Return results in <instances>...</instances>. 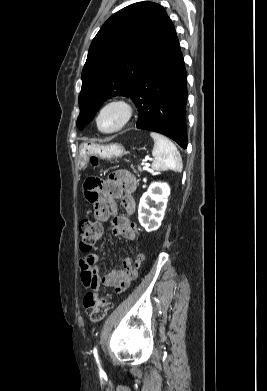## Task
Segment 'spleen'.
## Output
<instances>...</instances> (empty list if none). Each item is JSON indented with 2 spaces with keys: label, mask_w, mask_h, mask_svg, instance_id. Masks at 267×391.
Returning a JSON list of instances; mask_svg holds the SVG:
<instances>
[{
  "label": "spleen",
  "mask_w": 267,
  "mask_h": 391,
  "mask_svg": "<svg viewBox=\"0 0 267 391\" xmlns=\"http://www.w3.org/2000/svg\"><path fill=\"white\" fill-rule=\"evenodd\" d=\"M150 136L154 140L152 155L155 158L152 169L156 171L173 170L182 171V159L176 146L165 136L156 132H151Z\"/></svg>",
  "instance_id": "spleen-1"
}]
</instances>
